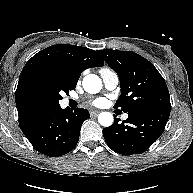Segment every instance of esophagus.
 Wrapping results in <instances>:
<instances>
[{
    "label": "esophagus",
    "mask_w": 193,
    "mask_h": 193,
    "mask_svg": "<svg viewBox=\"0 0 193 193\" xmlns=\"http://www.w3.org/2000/svg\"><path fill=\"white\" fill-rule=\"evenodd\" d=\"M100 113V111H91L90 112V115H91V117H96L98 114Z\"/></svg>",
    "instance_id": "esophagus-1"
}]
</instances>
